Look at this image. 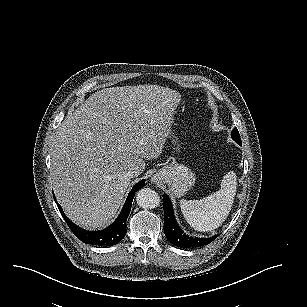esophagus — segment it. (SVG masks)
Listing matches in <instances>:
<instances>
[{"instance_id": "1", "label": "esophagus", "mask_w": 307, "mask_h": 307, "mask_svg": "<svg viewBox=\"0 0 307 307\" xmlns=\"http://www.w3.org/2000/svg\"><path fill=\"white\" fill-rule=\"evenodd\" d=\"M151 183L158 185L163 181V176L161 173H154L150 179Z\"/></svg>"}]
</instances>
